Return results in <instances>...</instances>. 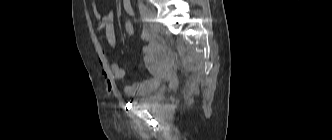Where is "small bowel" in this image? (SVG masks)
Here are the masks:
<instances>
[{"label":"small bowel","mask_w":332,"mask_h":140,"mask_svg":"<svg viewBox=\"0 0 332 140\" xmlns=\"http://www.w3.org/2000/svg\"><path fill=\"white\" fill-rule=\"evenodd\" d=\"M123 8L129 16L134 15V9L131 5V0H123ZM91 10L97 21V26H96L97 31L100 34L104 35L108 45L112 49H116L117 37L114 28V12L109 11L106 14L100 13V11L96 6L95 0H91ZM141 40L145 42L149 40V35L147 32H143L141 34ZM152 49L153 45L149 44L143 48V52L145 54H148L152 51ZM109 75L111 81L122 80L125 77V70L122 67H120L118 64L113 63L109 67ZM146 86H147V81L134 83L125 87V93L130 97H133L135 95H140L145 91Z\"/></svg>","instance_id":"small-bowel-1"}]
</instances>
